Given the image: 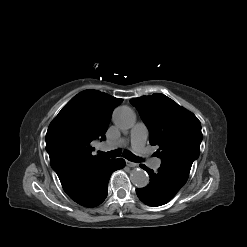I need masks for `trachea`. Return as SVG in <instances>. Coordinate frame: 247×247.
<instances>
[{
    "label": "trachea",
    "mask_w": 247,
    "mask_h": 247,
    "mask_svg": "<svg viewBox=\"0 0 247 247\" xmlns=\"http://www.w3.org/2000/svg\"><path fill=\"white\" fill-rule=\"evenodd\" d=\"M122 150L121 149H117V150H113L110 152H99L100 155L104 156V157H108V158H115V157H119L121 155ZM123 156L132 162H140L141 159L137 156H135L133 153H131L130 151H124L123 152Z\"/></svg>",
    "instance_id": "1"
}]
</instances>
